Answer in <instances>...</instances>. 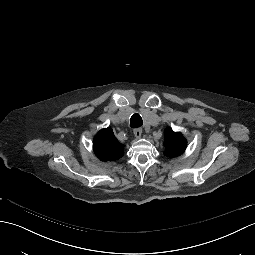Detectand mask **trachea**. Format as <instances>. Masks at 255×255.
<instances>
[{
    "mask_svg": "<svg viewBox=\"0 0 255 255\" xmlns=\"http://www.w3.org/2000/svg\"><path fill=\"white\" fill-rule=\"evenodd\" d=\"M142 124H143L142 117L140 116L139 113H135L131 116L130 126L132 128H138V127L142 126Z\"/></svg>",
    "mask_w": 255,
    "mask_h": 255,
    "instance_id": "3493384b",
    "label": "trachea"
}]
</instances>
